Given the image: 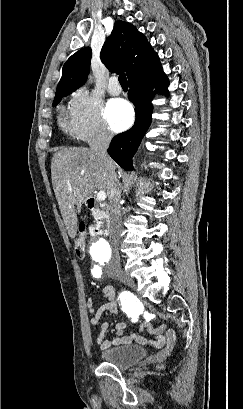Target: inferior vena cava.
Returning <instances> with one entry per match:
<instances>
[{"mask_svg": "<svg viewBox=\"0 0 243 409\" xmlns=\"http://www.w3.org/2000/svg\"><path fill=\"white\" fill-rule=\"evenodd\" d=\"M112 135L105 129L100 130L90 141L92 153L104 160L107 165L109 158L107 149ZM121 188L115 170H109L108 174V209H109V238L112 248V258L108 264L111 270L120 269L119 242L121 235Z\"/></svg>", "mask_w": 243, "mask_h": 409, "instance_id": "obj_1", "label": "inferior vena cava"}]
</instances>
